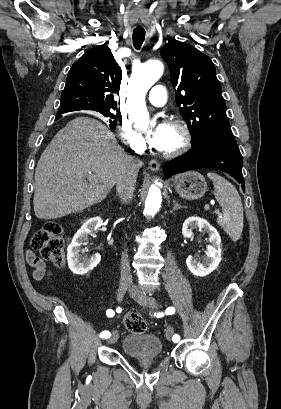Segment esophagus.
<instances>
[{"instance_id": "1", "label": "esophagus", "mask_w": 281, "mask_h": 409, "mask_svg": "<svg viewBox=\"0 0 281 409\" xmlns=\"http://www.w3.org/2000/svg\"><path fill=\"white\" fill-rule=\"evenodd\" d=\"M149 168H150V170L157 171L160 168V164H159V162L157 160H154V159L150 160Z\"/></svg>"}]
</instances>
